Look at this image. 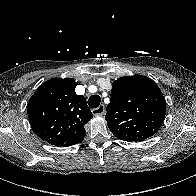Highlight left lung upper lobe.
I'll return each instance as SVG.
<instances>
[{"instance_id":"left-lung-upper-lobe-1","label":"left lung upper lobe","mask_w":196,"mask_h":196,"mask_svg":"<svg viewBox=\"0 0 196 196\" xmlns=\"http://www.w3.org/2000/svg\"><path fill=\"white\" fill-rule=\"evenodd\" d=\"M165 115V98L152 79L134 75L113 82L105 119L117 138L144 141L157 133Z\"/></svg>"}]
</instances>
